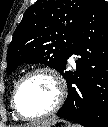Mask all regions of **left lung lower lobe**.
Wrapping results in <instances>:
<instances>
[{"label": "left lung lower lobe", "mask_w": 108, "mask_h": 127, "mask_svg": "<svg viewBox=\"0 0 108 127\" xmlns=\"http://www.w3.org/2000/svg\"><path fill=\"white\" fill-rule=\"evenodd\" d=\"M72 54L79 58L74 71L65 69L68 96L57 116L84 127H108V5L104 0H88Z\"/></svg>", "instance_id": "obj_1"}]
</instances>
